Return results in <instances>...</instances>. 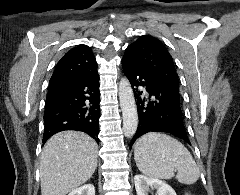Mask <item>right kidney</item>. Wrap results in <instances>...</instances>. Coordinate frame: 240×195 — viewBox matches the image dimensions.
I'll use <instances>...</instances> for the list:
<instances>
[{"mask_svg":"<svg viewBox=\"0 0 240 195\" xmlns=\"http://www.w3.org/2000/svg\"><path fill=\"white\" fill-rule=\"evenodd\" d=\"M68 195H95V187L93 183H85L81 187H76L73 191H70Z\"/></svg>","mask_w":240,"mask_h":195,"instance_id":"obj_1","label":"right kidney"}]
</instances>
